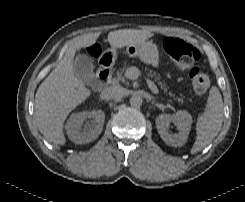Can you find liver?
Masks as SVG:
<instances>
[{
    "label": "liver",
    "mask_w": 245,
    "mask_h": 202,
    "mask_svg": "<svg viewBox=\"0 0 245 202\" xmlns=\"http://www.w3.org/2000/svg\"><path fill=\"white\" fill-rule=\"evenodd\" d=\"M100 33H88L74 38L65 55L48 77L41 83L35 95V123L43 136L55 145H64V122L69 113L84 102L91 91L73 72L76 51L96 43ZM153 34L149 31L123 29L112 31L107 40L111 50L141 43Z\"/></svg>",
    "instance_id": "1"
}]
</instances>
